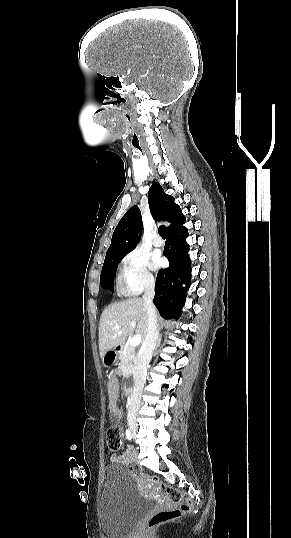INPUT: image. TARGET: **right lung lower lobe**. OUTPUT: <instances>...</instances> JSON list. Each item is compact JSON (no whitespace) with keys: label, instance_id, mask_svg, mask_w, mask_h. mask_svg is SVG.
<instances>
[{"label":"right lung lower lobe","instance_id":"obj_1","mask_svg":"<svg viewBox=\"0 0 291 538\" xmlns=\"http://www.w3.org/2000/svg\"><path fill=\"white\" fill-rule=\"evenodd\" d=\"M187 229L180 225L167 232L163 254L170 266L158 272L155 284L154 304L164 318H179L191 282V260L189 245L185 239ZM182 284H186L185 287Z\"/></svg>","mask_w":291,"mask_h":538}]
</instances>
